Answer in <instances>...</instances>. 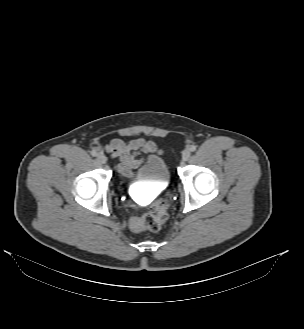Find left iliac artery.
Returning <instances> with one entry per match:
<instances>
[{"label":"left iliac artery","instance_id":"left-iliac-artery-1","mask_svg":"<svg viewBox=\"0 0 304 329\" xmlns=\"http://www.w3.org/2000/svg\"><path fill=\"white\" fill-rule=\"evenodd\" d=\"M197 147L195 145H191L190 146V151L194 152L196 151Z\"/></svg>","mask_w":304,"mask_h":329}]
</instances>
